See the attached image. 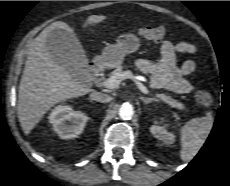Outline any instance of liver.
Returning <instances> with one entry per match:
<instances>
[{
    "label": "liver",
    "instance_id": "obj_1",
    "mask_svg": "<svg viewBox=\"0 0 230 186\" xmlns=\"http://www.w3.org/2000/svg\"><path fill=\"white\" fill-rule=\"evenodd\" d=\"M105 19L107 17L103 15H90L85 25L94 26ZM54 29H64L74 34L67 23L56 21L46 27L30 44L19 85L17 106L18 119L25 135L31 132L55 104L93 91L75 80L48 52L47 37Z\"/></svg>",
    "mask_w": 230,
    "mask_h": 186
}]
</instances>
